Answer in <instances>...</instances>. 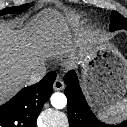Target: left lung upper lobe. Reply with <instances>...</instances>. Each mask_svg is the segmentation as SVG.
Segmentation results:
<instances>
[{"mask_svg":"<svg viewBox=\"0 0 127 127\" xmlns=\"http://www.w3.org/2000/svg\"><path fill=\"white\" fill-rule=\"evenodd\" d=\"M119 29L127 30V19L124 18L118 12L112 11L111 21H110V30L115 31Z\"/></svg>","mask_w":127,"mask_h":127,"instance_id":"1","label":"left lung upper lobe"}]
</instances>
